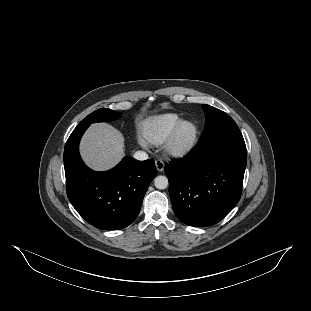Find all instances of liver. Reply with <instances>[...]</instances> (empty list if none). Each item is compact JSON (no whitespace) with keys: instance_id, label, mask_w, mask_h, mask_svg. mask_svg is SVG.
I'll return each instance as SVG.
<instances>
[{"instance_id":"6515ba94","label":"liver","mask_w":311,"mask_h":311,"mask_svg":"<svg viewBox=\"0 0 311 311\" xmlns=\"http://www.w3.org/2000/svg\"><path fill=\"white\" fill-rule=\"evenodd\" d=\"M123 149V136L107 124L93 125L81 145L82 156L95 169L113 166L123 157Z\"/></svg>"}]
</instances>
